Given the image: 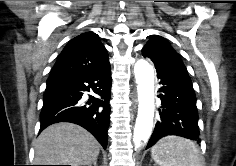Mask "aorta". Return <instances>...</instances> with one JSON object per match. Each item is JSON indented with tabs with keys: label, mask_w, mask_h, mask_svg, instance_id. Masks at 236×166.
Here are the masks:
<instances>
[{
	"label": "aorta",
	"mask_w": 236,
	"mask_h": 166,
	"mask_svg": "<svg viewBox=\"0 0 236 166\" xmlns=\"http://www.w3.org/2000/svg\"><path fill=\"white\" fill-rule=\"evenodd\" d=\"M138 92V114L133 133L136 147L146 143L151 136L154 118V69L146 60H138L134 66Z\"/></svg>",
	"instance_id": "aorta-1"
}]
</instances>
